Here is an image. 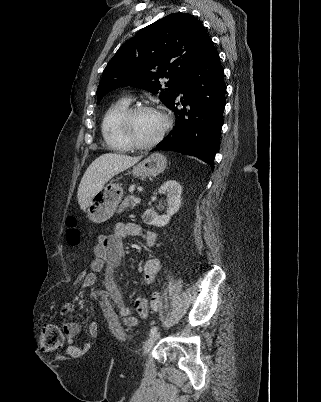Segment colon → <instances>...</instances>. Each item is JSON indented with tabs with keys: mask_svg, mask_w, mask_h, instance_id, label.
<instances>
[{
	"mask_svg": "<svg viewBox=\"0 0 321 402\" xmlns=\"http://www.w3.org/2000/svg\"><path fill=\"white\" fill-rule=\"evenodd\" d=\"M67 233L66 239L70 246L77 247L81 242V232L77 226V220L75 217H69L67 219ZM77 286L74 287L75 293L81 292L80 283L85 281V276L83 274H78L76 276ZM161 301L158 295H154L149 303V306L146 304H137L136 309L139 314H146L148 311H157L160 308ZM64 341L63 334L60 328L55 324H48L44 327L42 336H41V346L42 349L46 351H55L62 347Z\"/></svg>",
	"mask_w": 321,
	"mask_h": 402,
	"instance_id": "obj_1",
	"label": "colon"
}]
</instances>
